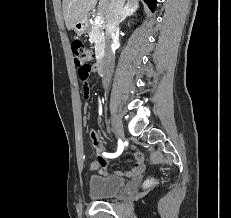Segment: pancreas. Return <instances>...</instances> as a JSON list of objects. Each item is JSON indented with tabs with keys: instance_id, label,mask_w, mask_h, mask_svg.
Listing matches in <instances>:
<instances>
[{
	"instance_id": "cf45deb5",
	"label": "pancreas",
	"mask_w": 231,
	"mask_h": 218,
	"mask_svg": "<svg viewBox=\"0 0 231 218\" xmlns=\"http://www.w3.org/2000/svg\"><path fill=\"white\" fill-rule=\"evenodd\" d=\"M89 37L95 43L97 52L99 53L100 51H102L105 42L103 27L98 26L95 23L92 24L89 32Z\"/></svg>"
}]
</instances>
